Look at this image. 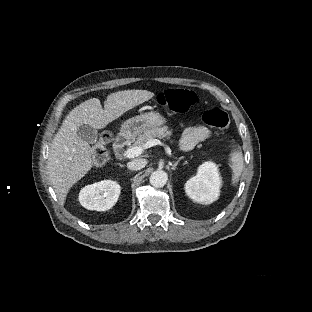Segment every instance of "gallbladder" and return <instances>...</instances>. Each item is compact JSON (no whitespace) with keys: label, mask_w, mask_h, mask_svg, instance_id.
<instances>
[{"label":"gallbladder","mask_w":312,"mask_h":312,"mask_svg":"<svg viewBox=\"0 0 312 312\" xmlns=\"http://www.w3.org/2000/svg\"><path fill=\"white\" fill-rule=\"evenodd\" d=\"M77 135L85 142L93 144L97 142V130L90 125L82 124L77 129Z\"/></svg>","instance_id":"obj_1"}]
</instances>
